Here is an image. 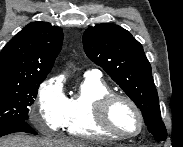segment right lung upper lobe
Segmentation results:
<instances>
[{"label":"right lung upper lobe","instance_id":"cb5924a9","mask_svg":"<svg viewBox=\"0 0 183 147\" xmlns=\"http://www.w3.org/2000/svg\"><path fill=\"white\" fill-rule=\"evenodd\" d=\"M63 32L48 22H32L0 52V84L46 78L61 50Z\"/></svg>","mask_w":183,"mask_h":147}]
</instances>
